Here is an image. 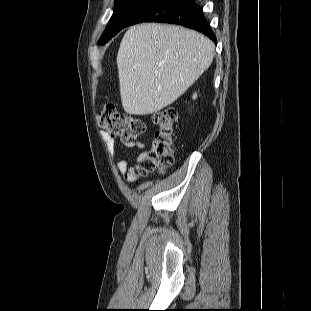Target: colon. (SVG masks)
Segmentation results:
<instances>
[{"label": "colon", "instance_id": "5ec220e1", "mask_svg": "<svg viewBox=\"0 0 311 311\" xmlns=\"http://www.w3.org/2000/svg\"><path fill=\"white\" fill-rule=\"evenodd\" d=\"M100 127L124 139H137L146 131V123L130 115L119 113L114 106L107 105L98 113ZM177 113L166 108L156 113L154 120L157 130L150 149L140 162V174H148L155 170H163L173 162L175 148L174 127Z\"/></svg>", "mask_w": 311, "mask_h": 311}]
</instances>
